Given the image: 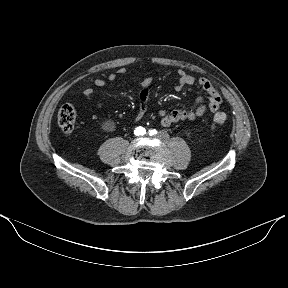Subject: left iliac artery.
I'll use <instances>...</instances> for the list:
<instances>
[{
    "instance_id": "1",
    "label": "left iliac artery",
    "mask_w": 288,
    "mask_h": 288,
    "mask_svg": "<svg viewBox=\"0 0 288 288\" xmlns=\"http://www.w3.org/2000/svg\"><path fill=\"white\" fill-rule=\"evenodd\" d=\"M149 134H150L151 136L156 135V134H157V131H156L155 129H152V130H150Z\"/></svg>"
}]
</instances>
